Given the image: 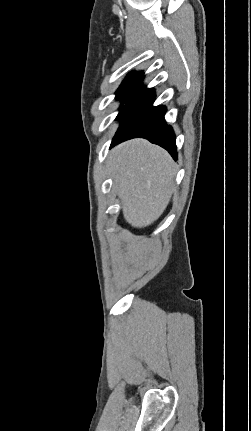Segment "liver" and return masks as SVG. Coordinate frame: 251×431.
<instances>
[{
  "label": "liver",
  "instance_id": "6515ba94",
  "mask_svg": "<svg viewBox=\"0 0 251 431\" xmlns=\"http://www.w3.org/2000/svg\"><path fill=\"white\" fill-rule=\"evenodd\" d=\"M107 171L129 224L143 228L163 214L176 174L175 163L164 149L144 139L126 141L110 151Z\"/></svg>",
  "mask_w": 251,
  "mask_h": 431
}]
</instances>
